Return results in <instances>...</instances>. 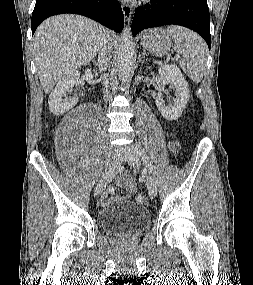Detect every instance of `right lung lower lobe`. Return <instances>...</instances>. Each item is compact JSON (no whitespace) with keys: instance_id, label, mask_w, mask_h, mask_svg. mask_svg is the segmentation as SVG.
<instances>
[{"instance_id":"obj_1","label":"right lung lower lobe","mask_w":253,"mask_h":285,"mask_svg":"<svg viewBox=\"0 0 253 285\" xmlns=\"http://www.w3.org/2000/svg\"><path fill=\"white\" fill-rule=\"evenodd\" d=\"M63 13L87 16L116 32H121L124 25L122 8L116 0H36L31 18L32 35L43 20Z\"/></svg>"}]
</instances>
